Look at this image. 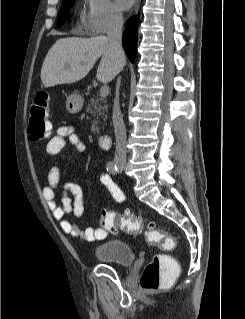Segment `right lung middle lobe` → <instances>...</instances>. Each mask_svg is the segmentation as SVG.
Here are the masks:
<instances>
[{
    "label": "right lung middle lobe",
    "instance_id": "dd1d6c3e",
    "mask_svg": "<svg viewBox=\"0 0 245 319\" xmlns=\"http://www.w3.org/2000/svg\"><path fill=\"white\" fill-rule=\"evenodd\" d=\"M75 0H64L63 1V8L60 13L59 19H58V26H61L65 22V17L67 16L69 10L71 9L73 3Z\"/></svg>",
    "mask_w": 245,
    "mask_h": 319
}]
</instances>
